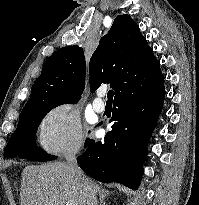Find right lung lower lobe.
Returning a JSON list of instances; mask_svg holds the SVG:
<instances>
[{
    "instance_id": "1",
    "label": "right lung lower lobe",
    "mask_w": 199,
    "mask_h": 205,
    "mask_svg": "<svg viewBox=\"0 0 199 205\" xmlns=\"http://www.w3.org/2000/svg\"><path fill=\"white\" fill-rule=\"evenodd\" d=\"M165 98L161 70L133 81L114 98L112 131L104 141L87 139L77 158L81 169L103 183L117 182L138 189L147 144Z\"/></svg>"
}]
</instances>
